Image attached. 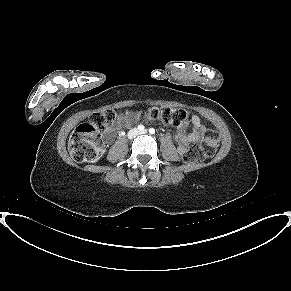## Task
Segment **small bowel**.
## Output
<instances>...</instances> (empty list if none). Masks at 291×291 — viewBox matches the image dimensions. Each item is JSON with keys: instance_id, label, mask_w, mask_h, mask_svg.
Instances as JSON below:
<instances>
[{"instance_id": "small-bowel-1", "label": "small bowel", "mask_w": 291, "mask_h": 291, "mask_svg": "<svg viewBox=\"0 0 291 291\" xmlns=\"http://www.w3.org/2000/svg\"><path fill=\"white\" fill-rule=\"evenodd\" d=\"M135 118L136 117L131 112H126L120 115L117 128L130 125ZM191 123L192 129L190 132H186L185 126H181L176 134V140L180 151H184L189 143L200 141L205 134V127L197 115H192ZM104 136L107 141H111L115 137V131L113 129H108L105 131Z\"/></svg>"}]
</instances>
